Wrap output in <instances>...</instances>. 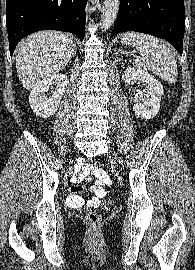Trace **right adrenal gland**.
Returning <instances> with one entry per match:
<instances>
[{
    "instance_id": "right-adrenal-gland-1",
    "label": "right adrenal gland",
    "mask_w": 195,
    "mask_h": 270,
    "mask_svg": "<svg viewBox=\"0 0 195 270\" xmlns=\"http://www.w3.org/2000/svg\"><path fill=\"white\" fill-rule=\"evenodd\" d=\"M76 47H74V52H73V56L76 55Z\"/></svg>"
}]
</instances>
